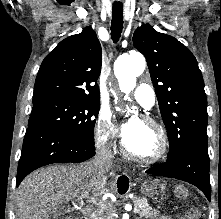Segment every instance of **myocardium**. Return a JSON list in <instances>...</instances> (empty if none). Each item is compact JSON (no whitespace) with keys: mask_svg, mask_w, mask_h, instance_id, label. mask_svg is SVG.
<instances>
[{"mask_svg":"<svg viewBox=\"0 0 221 219\" xmlns=\"http://www.w3.org/2000/svg\"><path fill=\"white\" fill-rule=\"evenodd\" d=\"M140 121L148 126H151L152 128L156 130L158 137H159V146H158L157 151L153 155L148 156V157L140 156L129 151V149L127 148L125 144V141L123 140L121 142V152L126 157L134 161L140 162L142 164L158 163L166 157L168 150H169V138H168L167 131L161 123H159L158 121L150 117L143 116L140 118Z\"/></svg>","mask_w":221,"mask_h":219,"instance_id":"f54148a6","label":"myocardium"}]
</instances>
